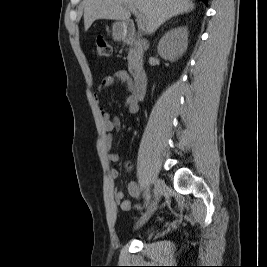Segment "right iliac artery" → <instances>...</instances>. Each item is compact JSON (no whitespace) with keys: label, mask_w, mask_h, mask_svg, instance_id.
I'll return each mask as SVG.
<instances>
[{"label":"right iliac artery","mask_w":267,"mask_h":267,"mask_svg":"<svg viewBox=\"0 0 267 267\" xmlns=\"http://www.w3.org/2000/svg\"><path fill=\"white\" fill-rule=\"evenodd\" d=\"M150 198H151V193H150V190L147 189V191L145 192V204L147 205L148 202L150 201Z\"/></svg>","instance_id":"1"}]
</instances>
